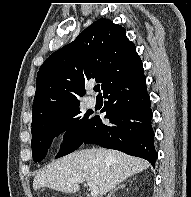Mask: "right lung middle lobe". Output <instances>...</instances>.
<instances>
[{
	"mask_svg": "<svg viewBox=\"0 0 191 197\" xmlns=\"http://www.w3.org/2000/svg\"><path fill=\"white\" fill-rule=\"evenodd\" d=\"M80 113L78 105L31 128V147L34 162L42 161L53 138L65 131L63 144L56 158L73 152L83 143L93 123V118L89 119L90 114L88 113L81 117Z\"/></svg>",
	"mask_w": 191,
	"mask_h": 197,
	"instance_id": "obj_1",
	"label": "right lung middle lobe"
}]
</instances>
